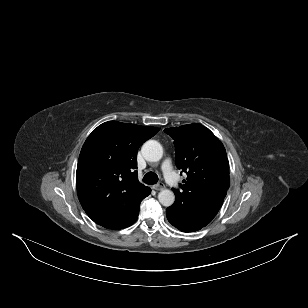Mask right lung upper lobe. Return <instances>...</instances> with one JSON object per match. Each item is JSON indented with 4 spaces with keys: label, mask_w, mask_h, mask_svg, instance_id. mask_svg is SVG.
I'll return each instance as SVG.
<instances>
[{
    "label": "right lung upper lobe",
    "mask_w": 308,
    "mask_h": 308,
    "mask_svg": "<svg viewBox=\"0 0 308 308\" xmlns=\"http://www.w3.org/2000/svg\"><path fill=\"white\" fill-rule=\"evenodd\" d=\"M156 127L108 121L86 139L78 160L76 185L87 215L108 229L124 228L150 188L138 181V148Z\"/></svg>",
    "instance_id": "1"
}]
</instances>
